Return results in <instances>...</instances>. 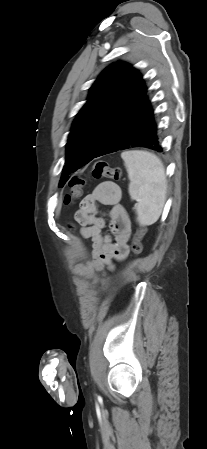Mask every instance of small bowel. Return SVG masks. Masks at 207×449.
Wrapping results in <instances>:
<instances>
[{
	"mask_svg": "<svg viewBox=\"0 0 207 449\" xmlns=\"http://www.w3.org/2000/svg\"><path fill=\"white\" fill-rule=\"evenodd\" d=\"M99 205L111 207L109 228L112 235L103 233L106 222L97 215ZM74 218L80 226L79 235L92 241V257L87 262L74 264L73 273L96 283L95 273L113 270L115 261H123L129 255L131 224L121 204L120 188L113 182H102L81 201Z\"/></svg>",
	"mask_w": 207,
	"mask_h": 449,
	"instance_id": "c3829d8e",
	"label": "small bowel"
}]
</instances>
